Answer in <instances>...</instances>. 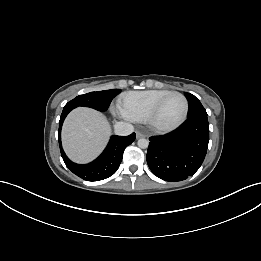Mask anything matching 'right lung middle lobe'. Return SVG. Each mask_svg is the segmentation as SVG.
<instances>
[{"label":"right lung middle lobe","instance_id":"right-lung-middle-lobe-1","mask_svg":"<svg viewBox=\"0 0 261 261\" xmlns=\"http://www.w3.org/2000/svg\"><path fill=\"white\" fill-rule=\"evenodd\" d=\"M120 93L119 89H111L98 92H90L84 95H79L70 102H68L64 108H76L78 106L91 107L98 111H106L112 101V99Z\"/></svg>","mask_w":261,"mask_h":261}]
</instances>
